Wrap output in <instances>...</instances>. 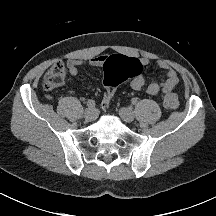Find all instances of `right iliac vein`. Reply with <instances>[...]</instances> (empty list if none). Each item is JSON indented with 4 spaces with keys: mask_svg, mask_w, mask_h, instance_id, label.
I'll return each instance as SVG.
<instances>
[{
    "mask_svg": "<svg viewBox=\"0 0 216 216\" xmlns=\"http://www.w3.org/2000/svg\"><path fill=\"white\" fill-rule=\"evenodd\" d=\"M97 110L95 108H87L84 112V118L87 121H93L97 118Z\"/></svg>",
    "mask_w": 216,
    "mask_h": 216,
    "instance_id": "1",
    "label": "right iliac vein"
}]
</instances>
